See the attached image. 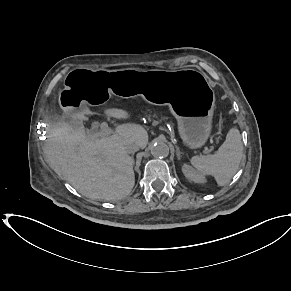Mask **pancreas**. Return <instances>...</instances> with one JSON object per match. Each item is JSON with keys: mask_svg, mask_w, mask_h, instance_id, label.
I'll list each match as a JSON object with an SVG mask.
<instances>
[{"mask_svg": "<svg viewBox=\"0 0 291 291\" xmlns=\"http://www.w3.org/2000/svg\"><path fill=\"white\" fill-rule=\"evenodd\" d=\"M144 116L148 119V121H154L156 123H167L173 126V122L169 117L164 116L160 110L157 109H148L143 111Z\"/></svg>", "mask_w": 291, "mask_h": 291, "instance_id": "cf45deb5", "label": "pancreas"}]
</instances>
